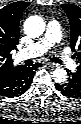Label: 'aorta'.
<instances>
[{"instance_id":"aorta-1","label":"aorta","mask_w":81,"mask_h":124,"mask_svg":"<svg viewBox=\"0 0 81 124\" xmlns=\"http://www.w3.org/2000/svg\"><path fill=\"white\" fill-rule=\"evenodd\" d=\"M45 22L42 17L31 16L24 23V31L27 35L37 38L45 31ZM53 79L57 83H63L67 79V73L63 68H56L53 71Z\"/></svg>"}]
</instances>
